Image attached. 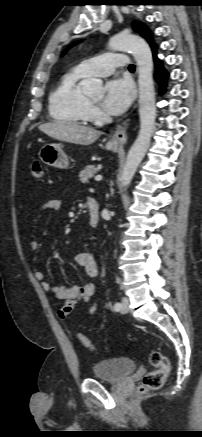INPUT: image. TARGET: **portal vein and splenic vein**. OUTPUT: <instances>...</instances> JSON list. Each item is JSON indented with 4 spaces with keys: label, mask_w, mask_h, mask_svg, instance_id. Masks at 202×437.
<instances>
[{
    "label": "portal vein and splenic vein",
    "mask_w": 202,
    "mask_h": 437,
    "mask_svg": "<svg viewBox=\"0 0 202 437\" xmlns=\"http://www.w3.org/2000/svg\"><path fill=\"white\" fill-rule=\"evenodd\" d=\"M95 180H96V181H100V180H102V176H101V175H97V176L95 177Z\"/></svg>",
    "instance_id": "obj_1"
}]
</instances>
